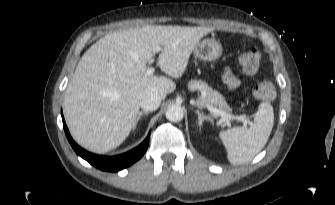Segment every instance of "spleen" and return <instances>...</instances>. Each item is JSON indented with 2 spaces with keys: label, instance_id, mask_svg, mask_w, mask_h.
<instances>
[{
  "label": "spleen",
  "instance_id": "3e777b00",
  "mask_svg": "<svg viewBox=\"0 0 335 205\" xmlns=\"http://www.w3.org/2000/svg\"><path fill=\"white\" fill-rule=\"evenodd\" d=\"M274 123L273 107L259 105L254 122L249 128L234 127L219 133L231 164L239 165L252 160L266 145Z\"/></svg>",
  "mask_w": 335,
  "mask_h": 205
}]
</instances>
